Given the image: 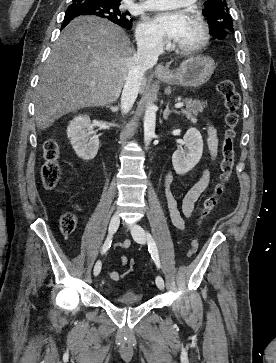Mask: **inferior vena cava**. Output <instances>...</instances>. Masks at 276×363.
<instances>
[{
  "instance_id": "1",
  "label": "inferior vena cava",
  "mask_w": 276,
  "mask_h": 363,
  "mask_svg": "<svg viewBox=\"0 0 276 363\" xmlns=\"http://www.w3.org/2000/svg\"><path fill=\"white\" fill-rule=\"evenodd\" d=\"M137 53L128 63V77L121 95V111L126 114L132 108L140 89L144 72L153 67L163 53L162 38L145 35L137 41Z\"/></svg>"
}]
</instances>
